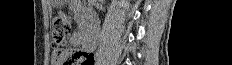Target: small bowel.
Instances as JSON below:
<instances>
[{"mask_svg": "<svg viewBox=\"0 0 232 65\" xmlns=\"http://www.w3.org/2000/svg\"><path fill=\"white\" fill-rule=\"evenodd\" d=\"M70 42L72 45H78V44H83V41H82V36L80 34H74L71 39H70ZM91 52V51H89Z\"/></svg>", "mask_w": 232, "mask_h": 65, "instance_id": "small-bowel-1", "label": "small bowel"}]
</instances>
